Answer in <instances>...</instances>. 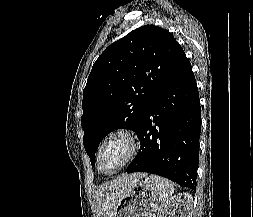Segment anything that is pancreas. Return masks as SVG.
Segmentation results:
<instances>
[{
	"instance_id": "obj_1",
	"label": "pancreas",
	"mask_w": 253,
	"mask_h": 217,
	"mask_svg": "<svg viewBox=\"0 0 253 217\" xmlns=\"http://www.w3.org/2000/svg\"><path fill=\"white\" fill-rule=\"evenodd\" d=\"M148 217H156L155 214L151 213Z\"/></svg>"
}]
</instances>
